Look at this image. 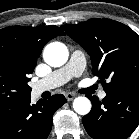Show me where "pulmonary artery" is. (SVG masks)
<instances>
[{
    "mask_svg": "<svg viewBox=\"0 0 139 139\" xmlns=\"http://www.w3.org/2000/svg\"><path fill=\"white\" fill-rule=\"evenodd\" d=\"M86 66V59L83 52L75 50L63 67L53 71L48 76L40 79L32 85V94L39 96L45 91L54 89L71 80L73 77H78L82 74ZM100 99L106 97V92L101 90L98 93Z\"/></svg>",
    "mask_w": 139,
    "mask_h": 139,
    "instance_id": "1",
    "label": "pulmonary artery"
}]
</instances>
